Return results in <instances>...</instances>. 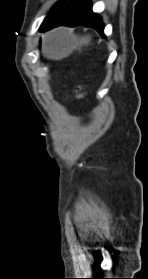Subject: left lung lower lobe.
Returning a JSON list of instances; mask_svg holds the SVG:
<instances>
[{
    "mask_svg": "<svg viewBox=\"0 0 148 279\" xmlns=\"http://www.w3.org/2000/svg\"><path fill=\"white\" fill-rule=\"evenodd\" d=\"M74 27L83 25L97 30L102 37L104 35V23L97 14L92 11L89 0L66 1L49 14L42 23L39 31L44 32L58 26Z\"/></svg>",
    "mask_w": 148,
    "mask_h": 279,
    "instance_id": "1",
    "label": "left lung lower lobe"
}]
</instances>
